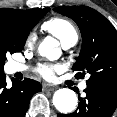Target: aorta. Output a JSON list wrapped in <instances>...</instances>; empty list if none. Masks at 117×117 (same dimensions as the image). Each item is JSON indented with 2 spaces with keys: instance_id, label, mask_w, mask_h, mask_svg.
I'll return each instance as SVG.
<instances>
[{
  "instance_id": "762f6f07",
  "label": "aorta",
  "mask_w": 117,
  "mask_h": 117,
  "mask_svg": "<svg viewBox=\"0 0 117 117\" xmlns=\"http://www.w3.org/2000/svg\"><path fill=\"white\" fill-rule=\"evenodd\" d=\"M39 53L49 60H57L61 56V49L58 48V42L47 37L39 46ZM77 96L75 92L68 88L57 90L53 96V104L55 108L63 114L71 113L77 106Z\"/></svg>"
}]
</instances>
